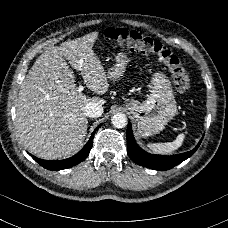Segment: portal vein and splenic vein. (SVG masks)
<instances>
[{
	"mask_svg": "<svg viewBox=\"0 0 228 228\" xmlns=\"http://www.w3.org/2000/svg\"><path fill=\"white\" fill-rule=\"evenodd\" d=\"M77 91L79 93H82L84 91L83 85H79V87L77 88Z\"/></svg>",
	"mask_w": 228,
	"mask_h": 228,
	"instance_id": "1",
	"label": "portal vein and splenic vein"
}]
</instances>
